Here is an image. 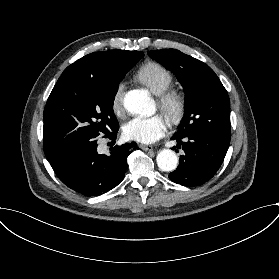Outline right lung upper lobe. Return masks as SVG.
<instances>
[{"mask_svg":"<svg viewBox=\"0 0 279 279\" xmlns=\"http://www.w3.org/2000/svg\"><path fill=\"white\" fill-rule=\"evenodd\" d=\"M143 55L141 51L109 50L88 54L68 66L61 77L66 75L103 76L115 70L123 60Z\"/></svg>","mask_w":279,"mask_h":279,"instance_id":"1","label":"right lung upper lobe"}]
</instances>
